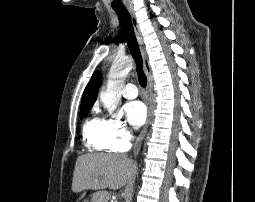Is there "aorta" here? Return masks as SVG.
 <instances>
[{"label":"aorta","mask_w":255,"mask_h":202,"mask_svg":"<svg viewBox=\"0 0 255 202\" xmlns=\"http://www.w3.org/2000/svg\"><path fill=\"white\" fill-rule=\"evenodd\" d=\"M131 68L132 60L129 57H124L116 59L110 69L107 88L101 93L100 99L112 115H117L114 112L121 102L123 80Z\"/></svg>","instance_id":"1"}]
</instances>
